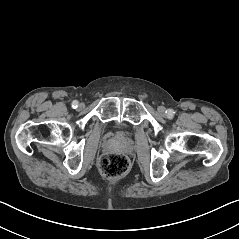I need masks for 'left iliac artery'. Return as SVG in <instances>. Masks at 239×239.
I'll return each mask as SVG.
<instances>
[{
	"instance_id": "1",
	"label": "left iliac artery",
	"mask_w": 239,
	"mask_h": 239,
	"mask_svg": "<svg viewBox=\"0 0 239 239\" xmlns=\"http://www.w3.org/2000/svg\"><path fill=\"white\" fill-rule=\"evenodd\" d=\"M167 113H168V117H172L175 112L172 109H169Z\"/></svg>"
}]
</instances>
